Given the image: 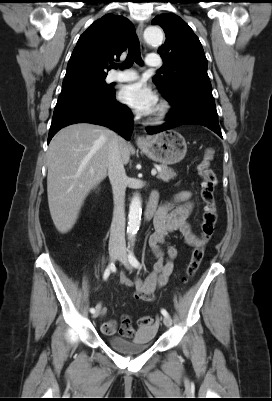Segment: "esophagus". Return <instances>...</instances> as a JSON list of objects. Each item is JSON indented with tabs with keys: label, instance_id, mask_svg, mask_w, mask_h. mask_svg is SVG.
Here are the masks:
<instances>
[{
	"label": "esophagus",
	"instance_id": "34e87169",
	"mask_svg": "<svg viewBox=\"0 0 272 401\" xmlns=\"http://www.w3.org/2000/svg\"><path fill=\"white\" fill-rule=\"evenodd\" d=\"M143 30H144V24H143V22H140L138 24V26H137L136 33H137V36H138V38L140 40L141 47L143 49H145V43H144V40H143ZM146 142H147V140H146V138L144 136H138L136 138V143L138 145L145 144Z\"/></svg>",
	"mask_w": 272,
	"mask_h": 401
}]
</instances>
